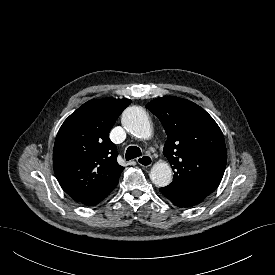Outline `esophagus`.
<instances>
[{"label":"esophagus","mask_w":275,"mask_h":275,"mask_svg":"<svg viewBox=\"0 0 275 275\" xmlns=\"http://www.w3.org/2000/svg\"><path fill=\"white\" fill-rule=\"evenodd\" d=\"M152 162H153L152 157L149 155H143L137 158V163L143 167L151 166Z\"/></svg>","instance_id":"esophagus-1"}]
</instances>
